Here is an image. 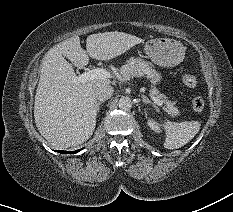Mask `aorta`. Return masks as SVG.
Masks as SVG:
<instances>
[{"instance_id":"1","label":"aorta","mask_w":233,"mask_h":212,"mask_svg":"<svg viewBox=\"0 0 233 212\" xmlns=\"http://www.w3.org/2000/svg\"><path fill=\"white\" fill-rule=\"evenodd\" d=\"M119 108L129 110L132 107V100L127 96H122L118 102Z\"/></svg>"}]
</instances>
